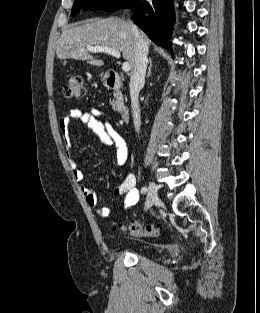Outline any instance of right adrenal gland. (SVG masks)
I'll list each match as a JSON object with an SVG mask.
<instances>
[{
	"instance_id": "right-adrenal-gland-1",
	"label": "right adrenal gland",
	"mask_w": 260,
	"mask_h": 313,
	"mask_svg": "<svg viewBox=\"0 0 260 313\" xmlns=\"http://www.w3.org/2000/svg\"><path fill=\"white\" fill-rule=\"evenodd\" d=\"M151 68H152V59H149V67H148V73H147V78L151 76Z\"/></svg>"
}]
</instances>
